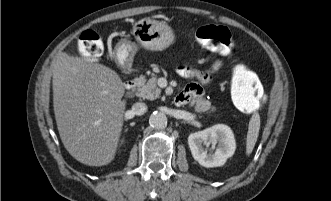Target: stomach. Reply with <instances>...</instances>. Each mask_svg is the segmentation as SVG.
<instances>
[{
  "label": "stomach",
  "mask_w": 331,
  "mask_h": 201,
  "mask_svg": "<svg viewBox=\"0 0 331 201\" xmlns=\"http://www.w3.org/2000/svg\"><path fill=\"white\" fill-rule=\"evenodd\" d=\"M131 33L139 45L151 51H162L171 46L175 40L169 26L150 18L137 21L133 25ZM136 42L124 38L116 45L115 56L122 67L130 65L138 50Z\"/></svg>",
  "instance_id": "stomach-1"
}]
</instances>
